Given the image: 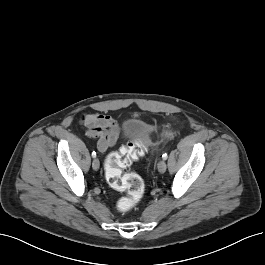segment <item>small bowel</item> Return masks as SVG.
Here are the masks:
<instances>
[{
  "label": "small bowel",
  "mask_w": 265,
  "mask_h": 265,
  "mask_svg": "<svg viewBox=\"0 0 265 265\" xmlns=\"http://www.w3.org/2000/svg\"><path fill=\"white\" fill-rule=\"evenodd\" d=\"M80 123L86 128L89 137H97V148L101 153L106 152L118 141L120 130L117 121L107 114H84Z\"/></svg>",
  "instance_id": "obj_1"
}]
</instances>
